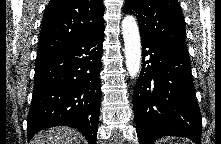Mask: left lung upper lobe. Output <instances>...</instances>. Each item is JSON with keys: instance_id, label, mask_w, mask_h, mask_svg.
I'll return each instance as SVG.
<instances>
[{"instance_id": "obj_1", "label": "left lung upper lobe", "mask_w": 221, "mask_h": 144, "mask_svg": "<svg viewBox=\"0 0 221 144\" xmlns=\"http://www.w3.org/2000/svg\"><path fill=\"white\" fill-rule=\"evenodd\" d=\"M123 11L137 17L142 38L187 50L185 21L177 0H126Z\"/></svg>"}]
</instances>
